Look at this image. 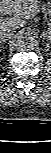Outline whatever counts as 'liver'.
Instances as JSON below:
<instances>
[{
	"label": "liver",
	"mask_w": 51,
	"mask_h": 153,
	"mask_svg": "<svg viewBox=\"0 0 51 153\" xmlns=\"http://www.w3.org/2000/svg\"><path fill=\"white\" fill-rule=\"evenodd\" d=\"M39 0H0V12L13 16L1 18V26L21 28L26 25V20L39 12Z\"/></svg>",
	"instance_id": "liver-1"
}]
</instances>
